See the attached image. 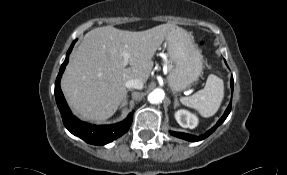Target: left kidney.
Here are the masks:
<instances>
[{"instance_id":"obj_1","label":"left kidney","mask_w":287,"mask_h":175,"mask_svg":"<svg viewBox=\"0 0 287 175\" xmlns=\"http://www.w3.org/2000/svg\"><path fill=\"white\" fill-rule=\"evenodd\" d=\"M175 119L178 122V124L184 128L193 129L198 124L197 116L184 109L176 111Z\"/></svg>"}]
</instances>
